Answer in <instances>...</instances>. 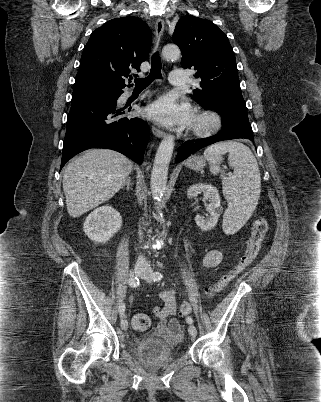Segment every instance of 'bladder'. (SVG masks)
Segmentation results:
<instances>
[{
	"instance_id": "31cf9c89",
	"label": "bladder",
	"mask_w": 321,
	"mask_h": 402,
	"mask_svg": "<svg viewBox=\"0 0 321 402\" xmlns=\"http://www.w3.org/2000/svg\"><path fill=\"white\" fill-rule=\"evenodd\" d=\"M181 340L171 346L155 337L154 331H149L135 341L132 349L134 355L149 366L167 365L176 359L175 348H178Z\"/></svg>"
}]
</instances>
